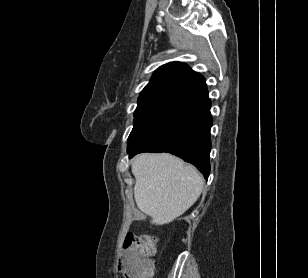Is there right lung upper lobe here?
Returning <instances> with one entry per match:
<instances>
[{
	"instance_id": "cb5924a9",
	"label": "right lung upper lobe",
	"mask_w": 308,
	"mask_h": 278,
	"mask_svg": "<svg viewBox=\"0 0 308 278\" xmlns=\"http://www.w3.org/2000/svg\"><path fill=\"white\" fill-rule=\"evenodd\" d=\"M208 97L205 78L182 62L159 67L138 98L134 116L181 115Z\"/></svg>"
}]
</instances>
